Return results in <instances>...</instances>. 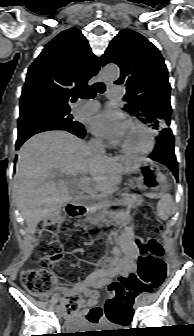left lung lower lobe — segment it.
Wrapping results in <instances>:
<instances>
[{"mask_svg":"<svg viewBox=\"0 0 194 336\" xmlns=\"http://www.w3.org/2000/svg\"><path fill=\"white\" fill-rule=\"evenodd\" d=\"M149 157L166 165L178 180L177 160L174 153V139L169 127L161 129L155 150Z\"/></svg>","mask_w":194,"mask_h":336,"instance_id":"obj_1","label":"left lung lower lobe"}]
</instances>
